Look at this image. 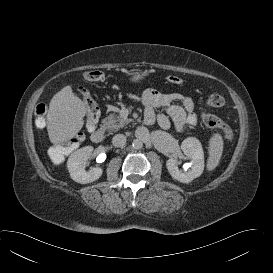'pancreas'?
<instances>
[{
	"label": "pancreas",
	"instance_id": "1",
	"mask_svg": "<svg viewBox=\"0 0 273 273\" xmlns=\"http://www.w3.org/2000/svg\"><path fill=\"white\" fill-rule=\"evenodd\" d=\"M129 122H131V119L122 118L116 114H110L102 121L105 129H107L110 133L119 131Z\"/></svg>",
	"mask_w": 273,
	"mask_h": 273
}]
</instances>
